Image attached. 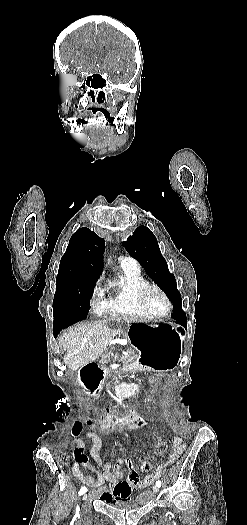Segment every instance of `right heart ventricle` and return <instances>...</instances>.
Instances as JSON below:
<instances>
[{
  "instance_id": "obj_1",
  "label": "right heart ventricle",
  "mask_w": 247,
  "mask_h": 525,
  "mask_svg": "<svg viewBox=\"0 0 247 525\" xmlns=\"http://www.w3.org/2000/svg\"><path fill=\"white\" fill-rule=\"evenodd\" d=\"M119 263L121 274L113 285L116 298L109 301L99 315L102 318L149 317L134 295V288L145 281L138 264L129 257H121Z\"/></svg>"
}]
</instances>
